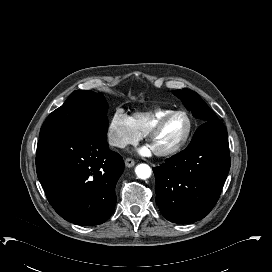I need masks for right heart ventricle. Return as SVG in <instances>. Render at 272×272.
<instances>
[{"instance_id":"right-heart-ventricle-1","label":"right heart ventricle","mask_w":272,"mask_h":272,"mask_svg":"<svg viewBox=\"0 0 272 272\" xmlns=\"http://www.w3.org/2000/svg\"><path fill=\"white\" fill-rule=\"evenodd\" d=\"M171 109H156L146 114H135L133 120L137 127L144 133L159 117L171 112Z\"/></svg>"}]
</instances>
